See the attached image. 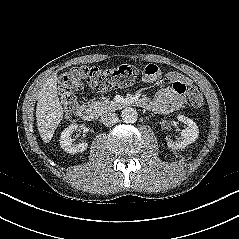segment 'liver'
<instances>
[{
  "label": "liver",
  "instance_id": "obj_1",
  "mask_svg": "<svg viewBox=\"0 0 239 239\" xmlns=\"http://www.w3.org/2000/svg\"><path fill=\"white\" fill-rule=\"evenodd\" d=\"M63 117V108L57 94V75L54 73L39 92L36 106L37 128L45 143L51 141Z\"/></svg>",
  "mask_w": 239,
  "mask_h": 239
}]
</instances>
